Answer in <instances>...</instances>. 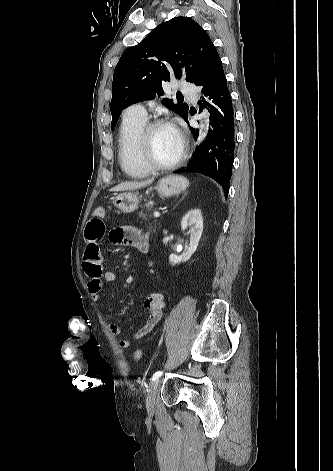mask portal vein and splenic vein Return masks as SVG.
Instances as JSON below:
<instances>
[{
    "instance_id": "portal-vein-and-splenic-vein-1",
    "label": "portal vein and splenic vein",
    "mask_w": 333,
    "mask_h": 471,
    "mask_svg": "<svg viewBox=\"0 0 333 471\" xmlns=\"http://www.w3.org/2000/svg\"><path fill=\"white\" fill-rule=\"evenodd\" d=\"M154 217H155V218H159V217H160V213H159V212H154Z\"/></svg>"
}]
</instances>
